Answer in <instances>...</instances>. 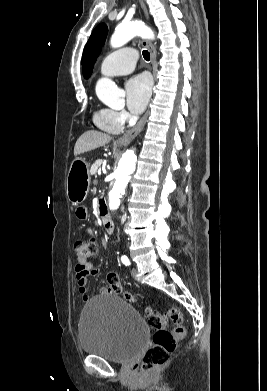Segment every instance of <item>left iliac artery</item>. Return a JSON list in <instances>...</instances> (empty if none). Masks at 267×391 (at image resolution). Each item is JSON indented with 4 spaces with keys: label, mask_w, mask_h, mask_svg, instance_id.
Returning <instances> with one entry per match:
<instances>
[{
    "label": "left iliac artery",
    "mask_w": 267,
    "mask_h": 391,
    "mask_svg": "<svg viewBox=\"0 0 267 391\" xmlns=\"http://www.w3.org/2000/svg\"><path fill=\"white\" fill-rule=\"evenodd\" d=\"M122 262L125 264V265H130V261L128 259L127 256H122L121 258Z\"/></svg>",
    "instance_id": "44dca946"
}]
</instances>
